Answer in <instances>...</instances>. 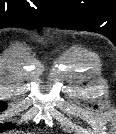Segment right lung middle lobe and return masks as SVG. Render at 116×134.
Wrapping results in <instances>:
<instances>
[{
  "label": "right lung middle lobe",
  "instance_id": "dd1d6c3e",
  "mask_svg": "<svg viewBox=\"0 0 116 134\" xmlns=\"http://www.w3.org/2000/svg\"><path fill=\"white\" fill-rule=\"evenodd\" d=\"M5 109H6V103H4L3 101H0V111H3ZM7 127L14 128V125H12V124H9V125L5 124V125L0 127V130H3L5 128H7Z\"/></svg>",
  "mask_w": 116,
  "mask_h": 134
}]
</instances>
